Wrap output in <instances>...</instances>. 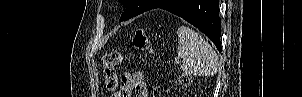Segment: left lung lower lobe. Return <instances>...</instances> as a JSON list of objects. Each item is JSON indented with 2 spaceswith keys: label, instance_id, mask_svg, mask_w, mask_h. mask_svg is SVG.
Returning a JSON list of instances; mask_svg holds the SVG:
<instances>
[{
  "label": "left lung lower lobe",
  "instance_id": "0a47b994",
  "mask_svg": "<svg viewBox=\"0 0 302 97\" xmlns=\"http://www.w3.org/2000/svg\"><path fill=\"white\" fill-rule=\"evenodd\" d=\"M155 8L167 10L191 23L206 34L221 51L219 0H154L146 11Z\"/></svg>",
  "mask_w": 302,
  "mask_h": 97
}]
</instances>
